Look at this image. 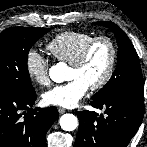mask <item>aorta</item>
I'll list each match as a JSON object with an SVG mask.
<instances>
[{
    "label": "aorta",
    "instance_id": "762f6f07",
    "mask_svg": "<svg viewBox=\"0 0 147 147\" xmlns=\"http://www.w3.org/2000/svg\"><path fill=\"white\" fill-rule=\"evenodd\" d=\"M66 71V64L59 62L49 69V77L56 83H62L66 80ZM59 122L61 128L65 131H73L78 127V119L73 114L62 115Z\"/></svg>",
    "mask_w": 147,
    "mask_h": 147
}]
</instances>
